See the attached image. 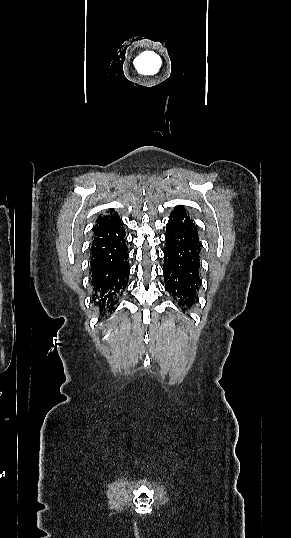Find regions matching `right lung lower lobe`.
Returning a JSON list of instances; mask_svg holds the SVG:
<instances>
[{
  "mask_svg": "<svg viewBox=\"0 0 291 538\" xmlns=\"http://www.w3.org/2000/svg\"><path fill=\"white\" fill-rule=\"evenodd\" d=\"M90 266L94 303L101 311L111 313L127 287L130 274L126 234L121 221L94 231Z\"/></svg>",
  "mask_w": 291,
  "mask_h": 538,
  "instance_id": "right-lung-lower-lobe-1",
  "label": "right lung lower lobe"
}]
</instances>
